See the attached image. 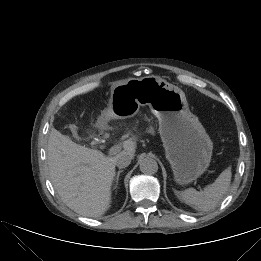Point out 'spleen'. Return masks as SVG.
Returning <instances> with one entry per match:
<instances>
[{"mask_svg":"<svg viewBox=\"0 0 261 261\" xmlns=\"http://www.w3.org/2000/svg\"><path fill=\"white\" fill-rule=\"evenodd\" d=\"M231 169H225L219 177L202 191L188 189L177 193V197L198 211L214 209L230 187Z\"/></svg>","mask_w":261,"mask_h":261,"instance_id":"obj_1","label":"spleen"}]
</instances>
